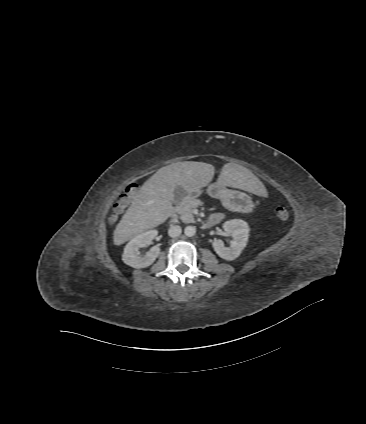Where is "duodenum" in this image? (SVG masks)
I'll use <instances>...</instances> for the list:
<instances>
[{"label": "duodenum", "mask_w": 366, "mask_h": 424, "mask_svg": "<svg viewBox=\"0 0 366 424\" xmlns=\"http://www.w3.org/2000/svg\"><path fill=\"white\" fill-rule=\"evenodd\" d=\"M216 223H215V221H213V220H211V219H209L208 221H206L204 224H203V227L205 228V229H208V228H210V227H212L213 225H215Z\"/></svg>", "instance_id": "410a0bca"}]
</instances>
